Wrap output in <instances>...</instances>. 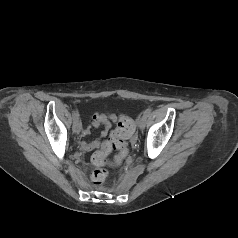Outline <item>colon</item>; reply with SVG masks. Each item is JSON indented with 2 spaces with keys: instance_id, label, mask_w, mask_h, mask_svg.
<instances>
[{
  "instance_id": "1",
  "label": "colon",
  "mask_w": 238,
  "mask_h": 238,
  "mask_svg": "<svg viewBox=\"0 0 238 238\" xmlns=\"http://www.w3.org/2000/svg\"><path fill=\"white\" fill-rule=\"evenodd\" d=\"M135 131L133 121L128 117H121L116 129L111 133L110 140L107 144L92 156V162L97 168L92 172L91 179L94 184L100 185L107 178V170L103 168L106 164V156L111 149L117 150L118 155L115 159L119 163L127 154V144L125 140Z\"/></svg>"
}]
</instances>
